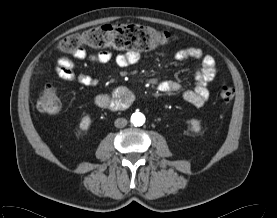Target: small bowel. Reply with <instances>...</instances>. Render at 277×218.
<instances>
[{"label":"small bowel","instance_id":"c3829d8e","mask_svg":"<svg viewBox=\"0 0 277 218\" xmlns=\"http://www.w3.org/2000/svg\"><path fill=\"white\" fill-rule=\"evenodd\" d=\"M195 59L201 62V67L196 70L194 75L195 86L192 90H187L183 93V98L194 106H202L209 98L208 84L211 82L217 73L215 60L212 56L206 55L199 48L188 47L178 51L175 55L176 60ZM75 60H88L95 64H106L114 61L119 68H126L141 61V57L136 52H125L117 54L113 57L109 51H98L89 54L85 49H80L73 54V59L69 57H61L56 65L55 71L57 75L65 80L77 81L79 84L86 87H96L99 80L86 73H78L76 71ZM157 89L162 93L177 92L182 89V85L176 81L165 80L159 82ZM125 87H117L115 93L119 96L127 93Z\"/></svg>","mask_w":277,"mask_h":218}]
</instances>
